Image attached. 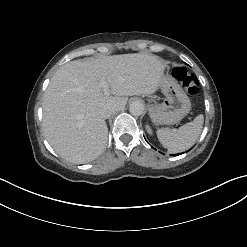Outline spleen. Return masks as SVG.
<instances>
[{"label": "spleen", "instance_id": "1", "mask_svg": "<svg viewBox=\"0 0 247 247\" xmlns=\"http://www.w3.org/2000/svg\"><path fill=\"white\" fill-rule=\"evenodd\" d=\"M204 116L198 115L192 122L181 126L178 130L162 128L157 131L160 143L170 153H178L194 145L203 128Z\"/></svg>", "mask_w": 247, "mask_h": 247}]
</instances>
